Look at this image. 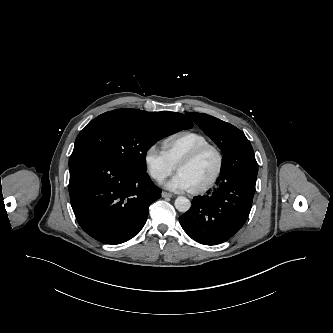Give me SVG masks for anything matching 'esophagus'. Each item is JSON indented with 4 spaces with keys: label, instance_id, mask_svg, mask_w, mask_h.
I'll return each instance as SVG.
<instances>
[{
    "label": "esophagus",
    "instance_id": "obj_1",
    "mask_svg": "<svg viewBox=\"0 0 333 333\" xmlns=\"http://www.w3.org/2000/svg\"><path fill=\"white\" fill-rule=\"evenodd\" d=\"M161 195H162L163 198H171L173 196L171 193H168V192H165V191H163L161 193Z\"/></svg>",
    "mask_w": 333,
    "mask_h": 333
}]
</instances>
